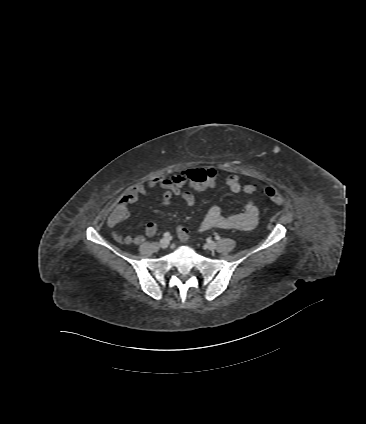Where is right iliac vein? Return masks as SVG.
<instances>
[{"label":"right iliac vein","mask_w":366,"mask_h":424,"mask_svg":"<svg viewBox=\"0 0 366 424\" xmlns=\"http://www.w3.org/2000/svg\"><path fill=\"white\" fill-rule=\"evenodd\" d=\"M159 245L161 248H167L169 245V239L163 238L160 240Z\"/></svg>","instance_id":"right-iliac-vein-1"}]
</instances>
